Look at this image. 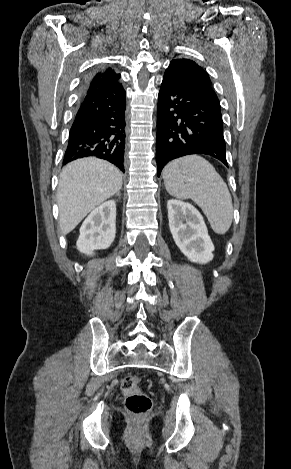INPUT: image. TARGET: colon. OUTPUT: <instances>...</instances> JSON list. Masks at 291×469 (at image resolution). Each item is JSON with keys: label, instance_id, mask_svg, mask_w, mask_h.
Masks as SVG:
<instances>
[{"label": "colon", "instance_id": "1", "mask_svg": "<svg viewBox=\"0 0 291 469\" xmlns=\"http://www.w3.org/2000/svg\"><path fill=\"white\" fill-rule=\"evenodd\" d=\"M121 389L125 396V408L129 414L142 418L151 411L152 400L142 389L138 376L124 377L121 381Z\"/></svg>", "mask_w": 291, "mask_h": 469}]
</instances>
